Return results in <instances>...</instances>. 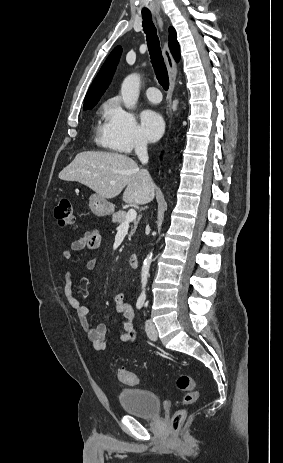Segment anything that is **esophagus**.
<instances>
[{"label":"esophagus","instance_id":"34e87169","mask_svg":"<svg viewBox=\"0 0 283 463\" xmlns=\"http://www.w3.org/2000/svg\"><path fill=\"white\" fill-rule=\"evenodd\" d=\"M157 21L159 24V27L161 31L163 30V22L160 17H157ZM163 55L165 59V63L168 69V75H169V90H168V103H169V109L171 111V104H172V95H173V90L175 87V81H176V75H177V64L174 61L169 47L168 43L165 41L163 45Z\"/></svg>","mask_w":283,"mask_h":463}]
</instances>
